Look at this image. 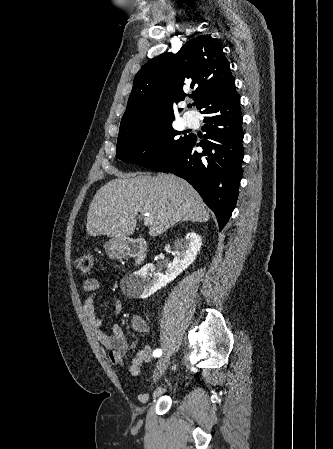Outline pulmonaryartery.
<instances>
[{"label": "pulmonary artery", "mask_w": 333, "mask_h": 449, "mask_svg": "<svg viewBox=\"0 0 333 449\" xmlns=\"http://www.w3.org/2000/svg\"><path fill=\"white\" fill-rule=\"evenodd\" d=\"M184 122L188 127H193L197 124V119L190 115V114H184Z\"/></svg>", "instance_id": "1"}]
</instances>
